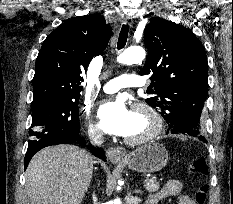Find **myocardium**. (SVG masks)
Here are the masks:
<instances>
[{"label": "myocardium", "mask_w": 233, "mask_h": 204, "mask_svg": "<svg viewBox=\"0 0 233 204\" xmlns=\"http://www.w3.org/2000/svg\"><path fill=\"white\" fill-rule=\"evenodd\" d=\"M132 111L143 112L151 122L150 130L135 138H124V142L128 145H141L155 139L163 129V120L161 115L156 111L154 107L146 102H136L132 105Z\"/></svg>", "instance_id": "myocardium-1"}]
</instances>
